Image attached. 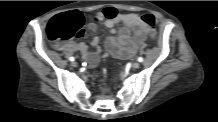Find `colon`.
Masks as SVG:
<instances>
[{
    "label": "colon",
    "instance_id": "1",
    "mask_svg": "<svg viewBox=\"0 0 218 122\" xmlns=\"http://www.w3.org/2000/svg\"><path fill=\"white\" fill-rule=\"evenodd\" d=\"M143 22L152 28L155 18L151 14L142 17ZM84 16L79 11H69L55 16L48 24L47 34L50 40L62 43L83 34ZM155 38V33H152Z\"/></svg>",
    "mask_w": 218,
    "mask_h": 122
}]
</instances>
